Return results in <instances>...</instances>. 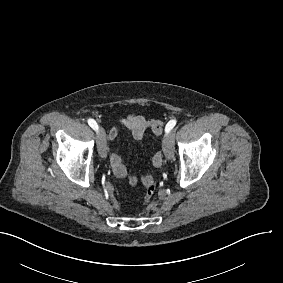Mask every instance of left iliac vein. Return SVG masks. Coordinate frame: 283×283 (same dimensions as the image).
I'll return each mask as SVG.
<instances>
[{
    "mask_svg": "<svg viewBox=\"0 0 283 283\" xmlns=\"http://www.w3.org/2000/svg\"><path fill=\"white\" fill-rule=\"evenodd\" d=\"M162 148L164 154L168 160H172L174 158V136L164 135L162 139Z\"/></svg>",
    "mask_w": 283,
    "mask_h": 283,
    "instance_id": "obj_1",
    "label": "left iliac vein"
}]
</instances>
